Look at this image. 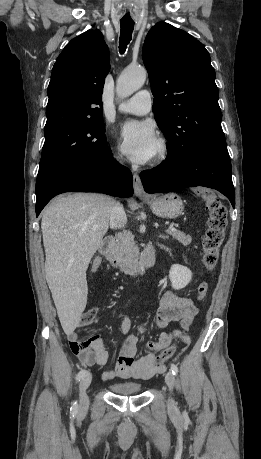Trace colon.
<instances>
[{"mask_svg":"<svg viewBox=\"0 0 261 459\" xmlns=\"http://www.w3.org/2000/svg\"><path fill=\"white\" fill-rule=\"evenodd\" d=\"M200 197L206 204L209 213L208 228L203 240V264L208 271L214 270L219 258L220 246L225 237L228 224L227 210L215 193L211 191H201ZM209 290L207 282H202L198 286V299L203 300ZM97 316V309L90 308L81 317V325L91 324ZM178 348V340L168 345L156 358V366L162 365L171 358Z\"/></svg>","mask_w":261,"mask_h":459,"instance_id":"5ec220e1","label":"colon"}]
</instances>
